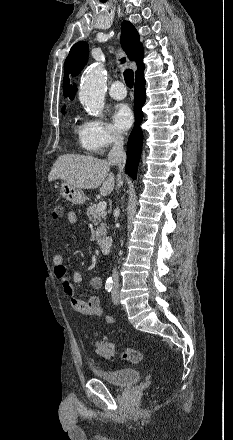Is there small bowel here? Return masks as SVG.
Wrapping results in <instances>:
<instances>
[{
  "mask_svg": "<svg viewBox=\"0 0 233 440\" xmlns=\"http://www.w3.org/2000/svg\"><path fill=\"white\" fill-rule=\"evenodd\" d=\"M67 220L70 225L74 226L77 222V215L70 211L67 213ZM52 263L54 266L55 277L61 281L62 290L69 300L71 308L78 314L94 319H105L107 323H113L115 319L105 315V308L101 305L100 299L96 295H89L86 298L75 295L73 284H79L83 280V276L79 271H72L68 276V268L64 263V257L58 253L53 256ZM89 285L94 290L102 288V279L97 275H91L88 278Z\"/></svg>",
  "mask_w": 233,
  "mask_h": 440,
  "instance_id": "1",
  "label": "small bowel"
}]
</instances>
